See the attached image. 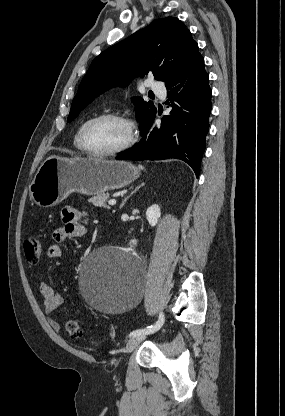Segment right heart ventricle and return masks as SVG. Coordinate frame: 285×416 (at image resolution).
<instances>
[{
    "mask_svg": "<svg viewBox=\"0 0 285 416\" xmlns=\"http://www.w3.org/2000/svg\"><path fill=\"white\" fill-rule=\"evenodd\" d=\"M86 121H83L80 125H79V127H78V129H77V131H76V133H75V135H74V138H73V144H74V146H75V148L77 149V150H79V151H84V149L82 148V146H81V143H80V133H81V129H82V126H83V124L85 123Z\"/></svg>",
    "mask_w": 285,
    "mask_h": 416,
    "instance_id": "right-heart-ventricle-1",
    "label": "right heart ventricle"
}]
</instances>
